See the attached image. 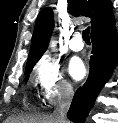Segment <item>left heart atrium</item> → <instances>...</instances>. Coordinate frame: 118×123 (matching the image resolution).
Wrapping results in <instances>:
<instances>
[{"label": "left heart atrium", "instance_id": "left-heart-atrium-1", "mask_svg": "<svg viewBox=\"0 0 118 123\" xmlns=\"http://www.w3.org/2000/svg\"><path fill=\"white\" fill-rule=\"evenodd\" d=\"M68 71L74 80H80L85 76L86 69L83 62L79 58H73L69 62Z\"/></svg>", "mask_w": 118, "mask_h": 123}]
</instances>
